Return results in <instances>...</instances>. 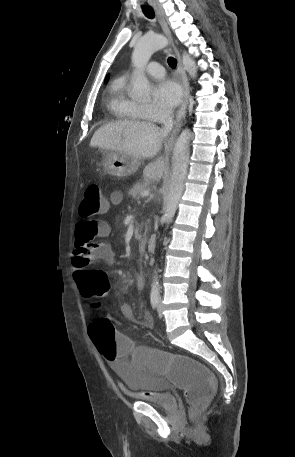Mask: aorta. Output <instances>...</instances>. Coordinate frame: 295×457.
Listing matches in <instances>:
<instances>
[{"label": "aorta", "instance_id": "762f6f07", "mask_svg": "<svg viewBox=\"0 0 295 457\" xmlns=\"http://www.w3.org/2000/svg\"><path fill=\"white\" fill-rule=\"evenodd\" d=\"M167 44V38L157 33L146 35L136 43L132 53V63L134 67L139 70V74L133 82V95L136 98L145 99L149 97L151 87L148 79L144 75V68L153 53L164 48ZM182 64L192 78L196 77V63L187 53H183L182 55ZM190 138L191 132L186 129L183 130L177 138L173 149L172 173L170 176L169 192L164 213V219L167 225L172 221L184 191L190 156ZM159 290L158 277L155 275L151 286V292L159 293Z\"/></svg>", "mask_w": 295, "mask_h": 457}]
</instances>
